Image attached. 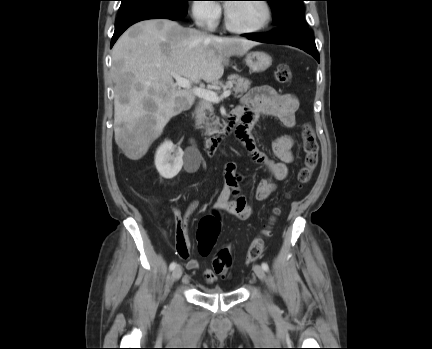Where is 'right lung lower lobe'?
I'll return each instance as SVG.
<instances>
[{"mask_svg":"<svg viewBox=\"0 0 432 349\" xmlns=\"http://www.w3.org/2000/svg\"><path fill=\"white\" fill-rule=\"evenodd\" d=\"M158 18L175 20L180 17L167 11L155 8L139 9L123 15H119L115 22V31L111 40V47L114 45L119 36L132 24L142 20Z\"/></svg>","mask_w":432,"mask_h":349,"instance_id":"obj_1","label":"right lung lower lobe"}]
</instances>
